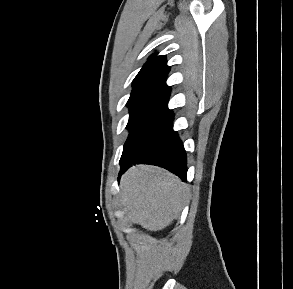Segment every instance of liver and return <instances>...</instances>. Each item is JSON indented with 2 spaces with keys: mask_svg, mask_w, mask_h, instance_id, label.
<instances>
[{
  "mask_svg": "<svg viewBox=\"0 0 293 289\" xmlns=\"http://www.w3.org/2000/svg\"><path fill=\"white\" fill-rule=\"evenodd\" d=\"M120 188L128 219L150 231L162 230L171 224L184 206L187 190L175 175L148 165L127 171Z\"/></svg>",
  "mask_w": 293,
  "mask_h": 289,
  "instance_id": "6515ba94",
  "label": "liver"
}]
</instances>
